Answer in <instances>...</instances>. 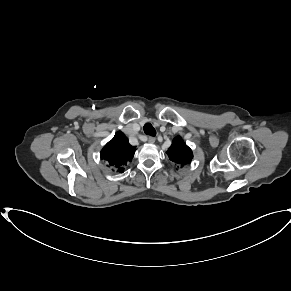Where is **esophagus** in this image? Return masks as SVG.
<instances>
[{"label": "esophagus", "mask_w": 291, "mask_h": 291, "mask_svg": "<svg viewBox=\"0 0 291 291\" xmlns=\"http://www.w3.org/2000/svg\"><path fill=\"white\" fill-rule=\"evenodd\" d=\"M155 140H156L155 137L150 136L147 141L148 143L153 144Z\"/></svg>", "instance_id": "esophagus-1"}]
</instances>
